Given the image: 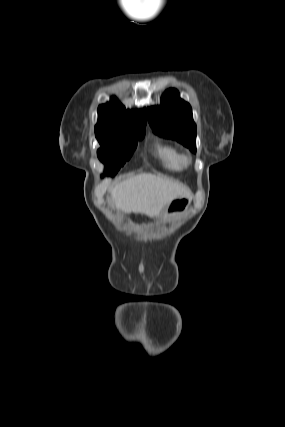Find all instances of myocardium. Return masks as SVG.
Masks as SVG:
<instances>
[{"mask_svg":"<svg viewBox=\"0 0 285 427\" xmlns=\"http://www.w3.org/2000/svg\"><path fill=\"white\" fill-rule=\"evenodd\" d=\"M180 161H181V165L183 167L189 166L192 162L191 155L187 152L181 153L180 154Z\"/></svg>","mask_w":285,"mask_h":427,"instance_id":"obj_1","label":"myocardium"}]
</instances>
